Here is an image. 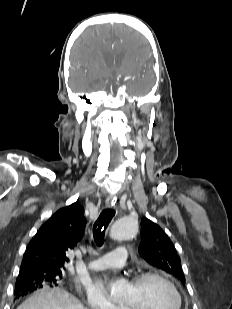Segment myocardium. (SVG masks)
<instances>
[{
    "mask_svg": "<svg viewBox=\"0 0 232 309\" xmlns=\"http://www.w3.org/2000/svg\"><path fill=\"white\" fill-rule=\"evenodd\" d=\"M149 279H159L162 282H164L165 284H167L169 286V288L171 289V291L173 292L176 300H177V304L174 307V309H182L183 306V298L182 295L177 287V285L164 273L159 272V271H143L141 273H138L136 275H134L131 279V283L132 284H141L142 282L149 280ZM123 309H134L133 307L129 306V305H122Z\"/></svg>",
    "mask_w": 232,
    "mask_h": 309,
    "instance_id": "f54148a6",
    "label": "myocardium"
}]
</instances>
